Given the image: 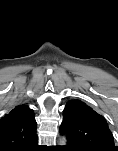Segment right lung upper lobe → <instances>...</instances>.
Wrapping results in <instances>:
<instances>
[{"label": "right lung upper lobe", "mask_w": 118, "mask_h": 151, "mask_svg": "<svg viewBox=\"0 0 118 151\" xmlns=\"http://www.w3.org/2000/svg\"><path fill=\"white\" fill-rule=\"evenodd\" d=\"M34 111L16 106L0 120V151H29L37 143Z\"/></svg>", "instance_id": "obj_1"}]
</instances>
